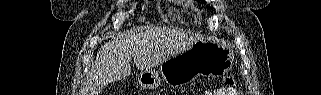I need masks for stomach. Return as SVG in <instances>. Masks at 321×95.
Listing matches in <instances>:
<instances>
[{
	"instance_id": "stomach-1",
	"label": "stomach",
	"mask_w": 321,
	"mask_h": 95,
	"mask_svg": "<svg viewBox=\"0 0 321 95\" xmlns=\"http://www.w3.org/2000/svg\"><path fill=\"white\" fill-rule=\"evenodd\" d=\"M233 64V54L225 45L201 39L191 47L173 55L160 64L159 73L145 71L139 75L142 88L153 89L162 81L171 85H182L194 81L198 76H219L227 73Z\"/></svg>"
}]
</instances>
